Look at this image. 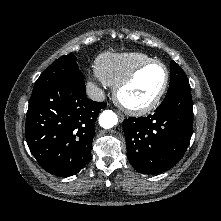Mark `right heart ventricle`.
Segmentation results:
<instances>
[{"instance_id": "right-heart-ventricle-1", "label": "right heart ventricle", "mask_w": 221, "mask_h": 221, "mask_svg": "<svg viewBox=\"0 0 221 221\" xmlns=\"http://www.w3.org/2000/svg\"><path fill=\"white\" fill-rule=\"evenodd\" d=\"M150 60L153 59L141 52H107L96 59L95 72L102 82L114 87L134 68Z\"/></svg>"}]
</instances>
